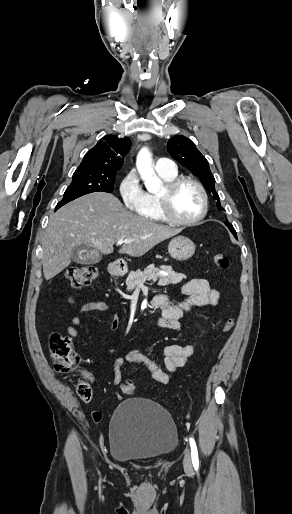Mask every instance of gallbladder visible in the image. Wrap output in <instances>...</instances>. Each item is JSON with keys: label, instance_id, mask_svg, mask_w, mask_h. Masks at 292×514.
<instances>
[{"label": "gallbladder", "instance_id": "1", "mask_svg": "<svg viewBox=\"0 0 292 514\" xmlns=\"http://www.w3.org/2000/svg\"><path fill=\"white\" fill-rule=\"evenodd\" d=\"M71 258L77 264H94L95 262V256H93L91 248L85 246V244L72 248Z\"/></svg>", "mask_w": 292, "mask_h": 514}]
</instances>
